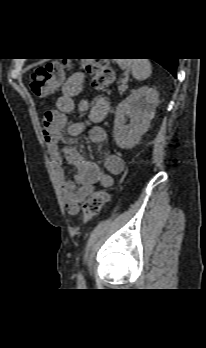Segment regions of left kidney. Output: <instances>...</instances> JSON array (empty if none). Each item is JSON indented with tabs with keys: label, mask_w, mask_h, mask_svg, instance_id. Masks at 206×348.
Segmentation results:
<instances>
[{
	"label": "left kidney",
	"mask_w": 206,
	"mask_h": 348,
	"mask_svg": "<svg viewBox=\"0 0 206 348\" xmlns=\"http://www.w3.org/2000/svg\"><path fill=\"white\" fill-rule=\"evenodd\" d=\"M158 92L147 86L133 90L132 93L119 103L114 120V139L121 149H131L145 134L151 120L154 118L158 105ZM126 117L130 124L126 125Z\"/></svg>",
	"instance_id": "1"
}]
</instances>
